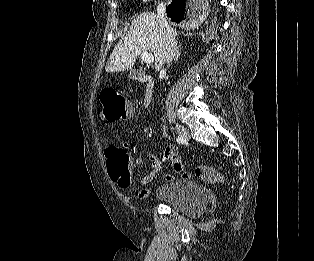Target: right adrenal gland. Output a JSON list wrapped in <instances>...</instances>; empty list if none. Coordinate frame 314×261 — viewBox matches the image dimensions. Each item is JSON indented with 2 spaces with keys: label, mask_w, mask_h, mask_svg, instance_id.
<instances>
[{
  "label": "right adrenal gland",
  "mask_w": 314,
  "mask_h": 261,
  "mask_svg": "<svg viewBox=\"0 0 314 261\" xmlns=\"http://www.w3.org/2000/svg\"><path fill=\"white\" fill-rule=\"evenodd\" d=\"M181 45L179 44L178 47H177V50H176V54H175V58H174V62H176L178 60V58L180 57V52H179V49H180Z\"/></svg>",
  "instance_id": "1"
}]
</instances>
